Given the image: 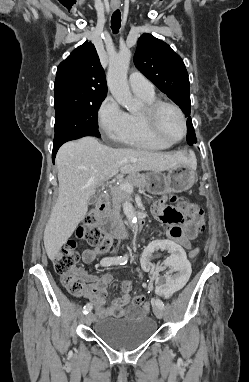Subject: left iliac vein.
I'll list each match as a JSON object with an SVG mask.
<instances>
[{"label": "left iliac vein", "instance_id": "obj_1", "mask_svg": "<svg viewBox=\"0 0 249 382\" xmlns=\"http://www.w3.org/2000/svg\"><path fill=\"white\" fill-rule=\"evenodd\" d=\"M153 312L155 314V316L159 319L163 318L164 317V311L163 309H161L160 307H158L157 305H155L153 307Z\"/></svg>", "mask_w": 249, "mask_h": 382}]
</instances>
